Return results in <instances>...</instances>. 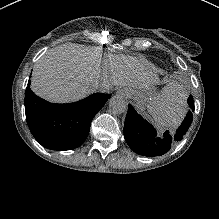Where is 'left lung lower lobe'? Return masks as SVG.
Segmentation results:
<instances>
[{"instance_id": "1", "label": "left lung lower lobe", "mask_w": 219, "mask_h": 219, "mask_svg": "<svg viewBox=\"0 0 219 219\" xmlns=\"http://www.w3.org/2000/svg\"><path fill=\"white\" fill-rule=\"evenodd\" d=\"M189 106L194 110L193 100L188 99ZM193 115L189 112L181 126L177 129L176 134H169L166 131L163 136L157 135L155 129L144 120L135 109L129 105L128 112L124 123V137L130 148L145 156L163 155L171 148V143L182 139V136L188 130Z\"/></svg>"}]
</instances>
